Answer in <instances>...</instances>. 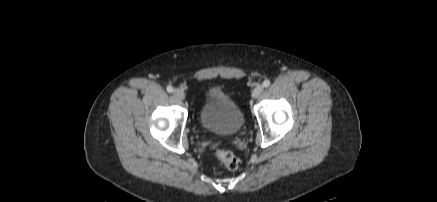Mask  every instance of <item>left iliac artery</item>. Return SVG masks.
<instances>
[{"instance_id": "obj_1", "label": "left iliac artery", "mask_w": 437, "mask_h": 202, "mask_svg": "<svg viewBox=\"0 0 437 202\" xmlns=\"http://www.w3.org/2000/svg\"><path fill=\"white\" fill-rule=\"evenodd\" d=\"M269 85H270V80L266 79V80L263 82V87H268Z\"/></svg>"}]
</instances>
